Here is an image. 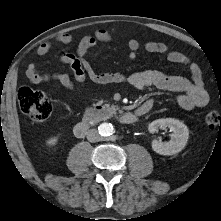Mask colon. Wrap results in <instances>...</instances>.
<instances>
[{"mask_svg":"<svg viewBox=\"0 0 221 221\" xmlns=\"http://www.w3.org/2000/svg\"><path fill=\"white\" fill-rule=\"evenodd\" d=\"M18 104L20 110L35 122L45 121L52 112V103L46 95L28 87L20 88ZM205 122L209 127L221 125V115L211 111L206 115Z\"/></svg>","mask_w":221,"mask_h":221,"instance_id":"obj_1","label":"colon"}]
</instances>
